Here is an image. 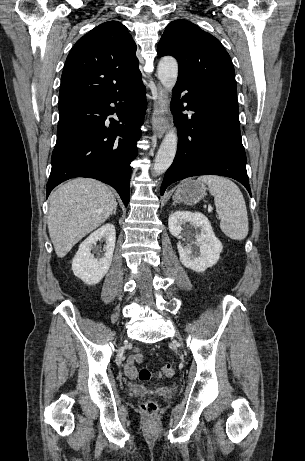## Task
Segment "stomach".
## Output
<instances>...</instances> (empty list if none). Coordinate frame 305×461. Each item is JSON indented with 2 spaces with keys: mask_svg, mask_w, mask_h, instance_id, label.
<instances>
[{
  "mask_svg": "<svg viewBox=\"0 0 305 461\" xmlns=\"http://www.w3.org/2000/svg\"><path fill=\"white\" fill-rule=\"evenodd\" d=\"M205 195L206 187L204 184L188 180L177 188L173 200L177 203L182 202L186 205H194L204 198Z\"/></svg>",
  "mask_w": 305,
  "mask_h": 461,
  "instance_id": "1",
  "label": "stomach"
}]
</instances>
